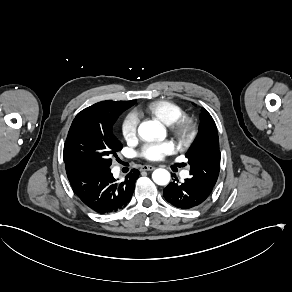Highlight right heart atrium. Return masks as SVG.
Here are the masks:
<instances>
[{
  "instance_id": "obj_1",
  "label": "right heart atrium",
  "mask_w": 292,
  "mask_h": 292,
  "mask_svg": "<svg viewBox=\"0 0 292 292\" xmlns=\"http://www.w3.org/2000/svg\"><path fill=\"white\" fill-rule=\"evenodd\" d=\"M139 118L135 111L125 113L120 122V133L128 144L136 142L138 137Z\"/></svg>"
}]
</instances>
